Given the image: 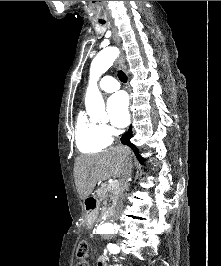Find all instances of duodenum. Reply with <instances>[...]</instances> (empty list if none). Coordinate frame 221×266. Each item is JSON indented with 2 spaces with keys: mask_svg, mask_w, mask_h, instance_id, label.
<instances>
[{
  "mask_svg": "<svg viewBox=\"0 0 221 266\" xmlns=\"http://www.w3.org/2000/svg\"><path fill=\"white\" fill-rule=\"evenodd\" d=\"M86 210L88 213V221L90 224H93L95 221L96 216V199L95 195L89 196L86 198L85 201ZM107 215L108 216H115L116 215V208L115 207H108L107 208Z\"/></svg>",
  "mask_w": 221,
  "mask_h": 266,
  "instance_id": "410a0bca",
  "label": "duodenum"
}]
</instances>
